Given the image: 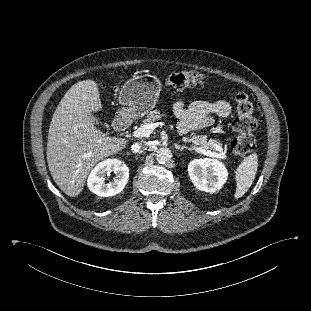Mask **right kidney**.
<instances>
[{
    "mask_svg": "<svg viewBox=\"0 0 311 311\" xmlns=\"http://www.w3.org/2000/svg\"><path fill=\"white\" fill-rule=\"evenodd\" d=\"M115 173L112 182L105 183V176ZM129 178V168L122 161L110 158L97 164L89 174L87 185L90 191L100 197H109L119 194L125 187Z\"/></svg>",
    "mask_w": 311,
    "mask_h": 311,
    "instance_id": "right-kidney-1",
    "label": "right kidney"
}]
</instances>
